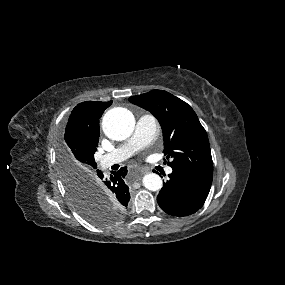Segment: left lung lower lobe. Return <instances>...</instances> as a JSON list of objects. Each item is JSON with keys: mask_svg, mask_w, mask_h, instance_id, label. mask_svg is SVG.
I'll return each instance as SVG.
<instances>
[{"mask_svg": "<svg viewBox=\"0 0 285 285\" xmlns=\"http://www.w3.org/2000/svg\"><path fill=\"white\" fill-rule=\"evenodd\" d=\"M212 180L213 174L173 169L157 196L158 204L170 215L193 214L203 206Z\"/></svg>", "mask_w": 285, "mask_h": 285, "instance_id": "0a47b994", "label": "left lung lower lobe"}]
</instances>
